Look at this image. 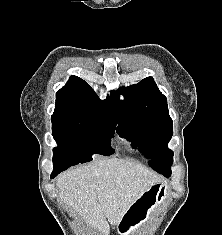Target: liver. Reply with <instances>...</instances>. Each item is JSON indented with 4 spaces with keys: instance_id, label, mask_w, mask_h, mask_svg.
Listing matches in <instances>:
<instances>
[{
    "instance_id": "liver-1",
    "label": "liver",
    "mask_w": 222,
    "mask_h": 235,
    "mask_svg": "<svg viewBox=\"0 0 222 235\" xmlns=\"http://www.w3.org/2000/svg\"><path fill=\"white\" fill-rule=\"evenodd\" d=\"M163 182L139 163L112 157L64 172L56 185L63 203L99 235H108L109 223L118 225L145 190Z\"/></svg>"
}]
</instances>
